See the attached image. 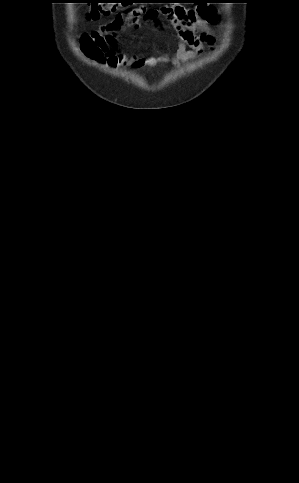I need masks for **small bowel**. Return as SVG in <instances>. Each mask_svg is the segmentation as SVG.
I'll list each match as a JSON object with an SVG mask.
<instances>
[{
  "label": "small bowel",
  "mask_w": 299,
  "mask_h": 483,
  "mask_svg": "<svg viewBox=\"0 0 299 483\" xmlns=\"http://www.w3.org/2000/svg\"><path fill=\"white\" fill-rule=\"evenodd\" d=\"M206 18L199 10L183 6L157 9L149 6L125 9L100 29L80 37L83 53L97 64L110 68L119 67H156L165 64L180 66L187 64L202 54L205 46L213 48L215 38L208 28V23L218 19L216 10L204 6ZM161 14L167 15L176 30L179 42L173 54H154L150 56H128L118 49L116 33L126 28H137L142 20L158 24Z\"/></svg>",
  "instance_id": "1"
}]
</instances>
